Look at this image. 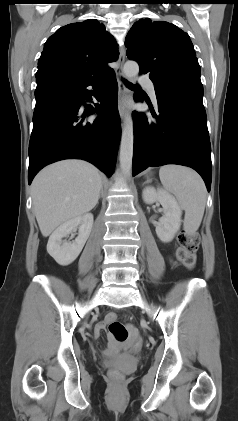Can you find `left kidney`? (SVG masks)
<instances>
[{
  "label": "left kidney",
  "instance_id": "obj_1",
  "mask_svg": "<svg viewBox=\"0 0 238 421\" xmlns=\"http://www.w3.org/2000/svg\"><path fill=\"white\" fill-rule=\"evenodd\" d=\"M142 197L146 204L158 201L162 205L164 215L156 226V234L162 242H171L181 226L182 211L177 201L162 188L155 189L151 186L144 188Z\"/></svg>",
  "mask_w": 238,
  "mask_h": 421
}]
</instances>
